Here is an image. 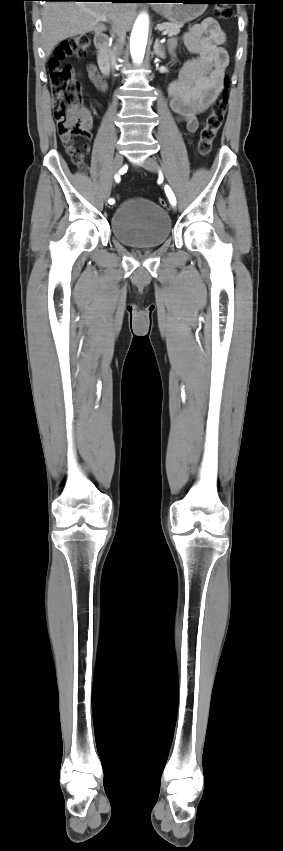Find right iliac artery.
Returning <instances> with one entry per match:
<instances>
[{"label": "right iliac artery", "mask_w": 283, "mask_h": 851, "mask_svg": "<svg viewBox=\"0 0 283 851\" xmlns=\"http://www.w3.org/2000/svg\"><path fill=\"white\" fill-rule=\"evenodd\" d=\"M115 180H116V184H121V179H120L119 175H115ZM108 202H109V204L115 203L114 199H109Z\"/></svg>", "instance_id": "right-iliac-artery-1"}]
</instances>
